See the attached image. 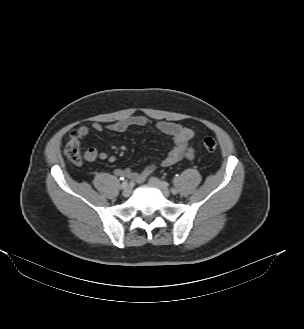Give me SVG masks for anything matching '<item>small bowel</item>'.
I'll use <instances>...</instances> for the list:
<instances>
[{"label":"small bowel","instance_id":"small-bowel-1","mask_svg":"<svg viewBox=\"0 0 304 329\" xmlns=\"http://www.w3.org/2000/svg\"><path fill=\"white\" fill-rule=\"evenodd\" d=\"M151 121L148 117L142 115L129 116L113 122L108 125H103L101 123H93L91 127L83 125L77 129L78 134L81 139L86 137L90 130L101 132L103 130H109L114 132H124L132 126L146 127L150 125ZM156 128L170 136L173 140V147L169 154L164 158L162 164L164 166H170L182 159H191L194 156V150L190 143L194 137V131L190 128L183 127L179 124L159 121L156 123ZM84 159L87 162H93L95 160H107L109 162H114L116 157L112 154L99 152L96 148H88L84 153ZM156 169V164L150 163L140 171H132L130 169H116L115 174L120 177H127L136 182H143L151 175Z\"/></svg>","mask_w":304,"mask_h":329}]
</instances>
